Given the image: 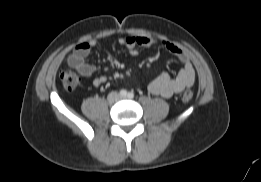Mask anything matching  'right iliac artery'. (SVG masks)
Returning a JSON list of instances; mask_svg holds the SVG:
<instances>
[{
    "label": "right iliac artery",
    "instance_id": "right-iliac-artery-1",
    "mask_svg": "<svg viewBox=\"0 0 261 182\" xmlns=\"http://www.w3.org/2000/svg\"><path fill=\"white\" fill-rule=\"evenodd\" d=\"M120 95H121L122 97H126L127 91H126L125 89L120 90Z\"/></svg>",
    "mask_w": 261,
    "mask_h": 182
}]
</instances>
